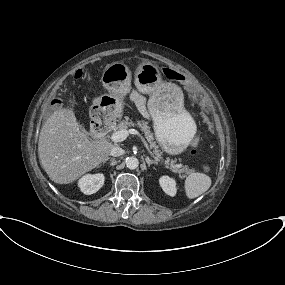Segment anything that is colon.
Returning a JSON list of instances; mask_svg holds the SVG:
<instances>
[{
	"label": "colon",
	"mask_w": 285,
	"mask_h": 285,
	"mask_svg": "<svg viewBox=\"0 0 285 285\" xmlns=\"http://www.w3.org/2000/svg\"><path fill=\"white\" fill-rule=\"evenodd\" d=\"M163 74L165 75L166 78L183 84L188 96L191 99L198 100V101H204L205 99L204 93L200 90L199 87H197L185 75L178 73L175 70H172L170 68H164ZM82 76H83V71L79 69V70H76L73 77L74 79H80ZM59 105H60L59 102L57 100H54L51 103V108L53 109V108L59 107ZM198 145H199V140L198 138H195L191 143L190 155H195L197 153Z\"/></svg>",
	"instance_id": "colon-1"
}]
</instances>
